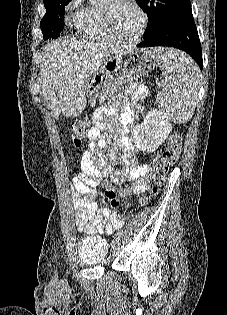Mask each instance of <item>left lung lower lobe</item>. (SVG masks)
I'll list each match as a JSON object with an SVG mask.
<instances>
[{"instance_id": "1", "label": "left lung lower lobe", "mask_w": 227, "mask_h": 315, "mask_svg": "<svg viewBox=\"0 0 227 315\" xmlns=\"http://www.w3.org/2000/svg\"><path fill=\"white\" fill-rule=\"evenodd\" d=\"M169 46L188 53L202 70V50L192 11L173 16L145 34L138 47Z\"/></svg>"}]
</instances>
